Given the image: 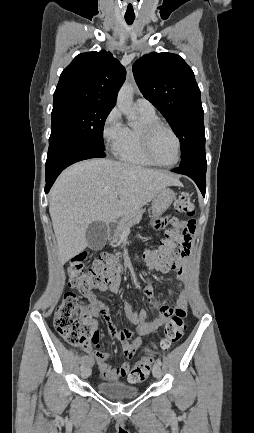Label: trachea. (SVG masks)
Segmentation results:
<instances>
[{
    "label": "trachea",
    "mask_w": 254,
    "mask_h": 433,
    "mask_svg": "<svg viewBox=\"0 0 254 433\" xmlns=\"http://www.w3.org/2000/svg\"><path fill=\"white\" fill-rule=\"evenodd\" d=\"M135 18H125V21L128 25H131L134 22Z\"/></svg>",
    "instance_id": "obj_1"
}]
</instances>
